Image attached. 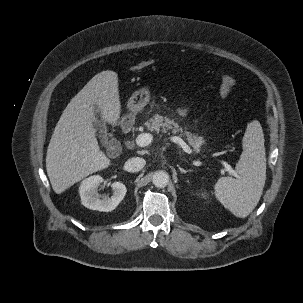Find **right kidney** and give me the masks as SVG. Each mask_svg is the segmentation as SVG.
<instances>
[{"label": "right kidney", "mask_w": 303, "mask_h": 303, "mask_svg": "<svg viewBox=\"0 0 303 303\" xmlns=\"http://www.w3.org/2000/svg\"><path fill=\"white\" fill-rule=\"evenodd\" d=\"M103 182L99 175L90 176L83 180L79 187L81 203L91 210L110 212L114 210L125 197L127 192L126 186L121 182L112 183L113 194L111 197H99L98 187Z\"/></svg>", "instance_id": "right-kidney-1"}]
</instances>
